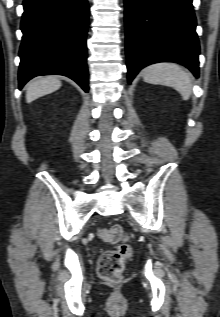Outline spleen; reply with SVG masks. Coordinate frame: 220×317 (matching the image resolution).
<instances>
[{
  "label": "spleen",
  "instance_id": "1",
  "mask_svg": "<svg viewBox=\"0 0 220 317\" xmlns=\"http://www.w3.org/2000/svg\"><path fill=\"white\" fill-rule=\"evenodd\" d=\"M142 76L147 83L173 87L184 99H188L191 95V77L176 63L160 62L149 65L142 70Z\"/></svg>",
  "mask_w": 220,
  "mask_h": 317
}]
</instances>
